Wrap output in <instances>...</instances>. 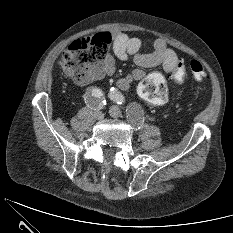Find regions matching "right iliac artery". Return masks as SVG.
Returning a JSON list of instances; mask_svg holds the SVG:
<instances>
[{
    "label": "right iliac artery",
    "instance_id": "obj_1",
    "mask_svg": "<svg viewBox=\"0 0 233 233\" xmlns=\"http://www.w3.org/2000/svg\"><path fill=\"white\" fill-rule=\"evenodd\" d=\"M86 103L94 109H102L105 105L103 93L98 88H93L85 94Z\"/></svg>",
    "mask_w": 233,
    "mask_h": 233
}]
</instances>
